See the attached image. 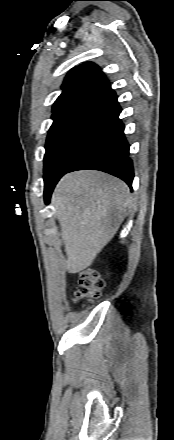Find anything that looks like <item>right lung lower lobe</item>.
<instances>
[{"label": "right lung lower lobe", "mask_w": 174, "mask_h": 440, "mask_svg": "<svg viewBox=\"0 0 174 440\" xmlns=\"http://www.w3.org/2000/svg\"><path fill=\"white\" fill-rule=\"evenodd\" d=\"M98 100L99 109L92 130L82 151L66 173L82 169L100 170L121 178L132 189L133 162L129 157L124 124L119 119L121 107L116 93L110 88ZM56 183L45 186L46 203H49Z\"/></svg>", "instance_id": "right-lung-lower-lobe-1"}]
</instances>
